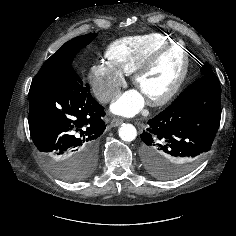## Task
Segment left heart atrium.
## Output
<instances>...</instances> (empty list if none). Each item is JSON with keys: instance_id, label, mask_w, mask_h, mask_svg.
I'll return each mask as SVG.
<instances>
[{"instance_id": "39dd6f15", "label": "left heart atrium", "mask_w": 236, "mask_h": 236, "mask_svg": "<svg viewBox=\"0 0 236 236\" xmlns=\"http://www.w3.org/2000/svg\"><path fill=\"white\" fill-rule=\"evenodd\" d=\"M144 105V96L139 90H130L118 97L111 106L113 113L123 116H133Z\"/></svg>"}]
</instances>
